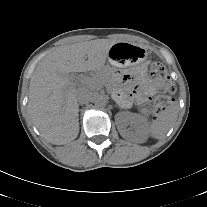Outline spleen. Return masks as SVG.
Returning <instances> with one entry per match:
<instances>
[{"label": "spleen", "mask_w": 207, "mask_h": 207, "mask_svg": "<svg viewBox=\"0 0 207 207\" xmlns=\"http://www.w3.org/2000/svg\"><path fill=\"white\" fill-rule=\"evenodd\" d=\"M178 118V104L171 103L158 117L147 126L148 134L155 138H163Z\"/></svg>", "instance_id": "3e777b00"}]
</instances>
